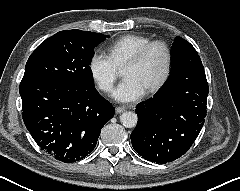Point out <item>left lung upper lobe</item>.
Listing matches in <instances>:
<instances>
[{
	"label": "left lung upper lobe",
	"mask_w": 240,
	"mask_h": 191,
	"mask_svg": "<svg viewBox=\"0 0 240 191\" xmlns=\"http://www.w3.org/2000/svg\"><path fill=\"white\" fill-rule=\"evenodd\" d=\"M171 55H172L171 73L168 80L162 87H164L168 83L171 75L176 74L177 68H179L181 65L194 64L197 67H203L201 59L195 48L192 46V44H190L181 37H176L174 39V42L171 47Z\"/></svg>",
	"instance_id": "5c2ea615"
}]
</instances>
